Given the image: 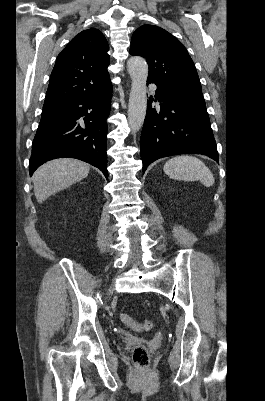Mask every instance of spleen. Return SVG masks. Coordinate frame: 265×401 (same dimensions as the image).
I'll use <instances>...</instances> for the list:
<instances>
[{"mask_svg":"<svg viewBox=\"0 0 265 401\" xmlns=\"http://www.w3.org/2000/svg\"><path fill=\"white\" fill-rule=\"evenodd\" d=\"M165 174L175 180H200L204 186H212L215 182L214 174L208 166L196 156H174L169 158L163 166Z\"/></svg>","mask_w":265,"mask_h":401,"instance_id":"1","label":"spleen"}]
</instances>
